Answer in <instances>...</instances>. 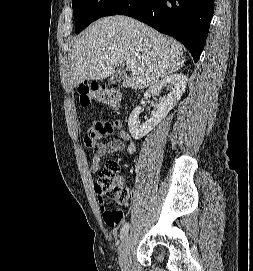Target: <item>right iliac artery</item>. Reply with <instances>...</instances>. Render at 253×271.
<instances>
[{
	"label": "right iliac artery",
	"mask_w": 253,
	"mask_h": 271,
	"mask_svg": "<svg viewBox=\"0 0 253 271\" xmlns=\"http://www.w3.org/2000/svg\"><path fill=\"white\" fill-rule=\"evenodd\" d=\"M128 230H129V223H125L122 228H121V231H120V238H124L125 235L128 233Z\"/></svg>",
	"instance_id": "1"
}]
</instances>
